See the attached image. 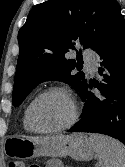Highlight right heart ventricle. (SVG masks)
<instances>
[{
    "mask_svg": "<svg viewBox=\"0 0 125 167\" xmlns=\"http://www.w3.org/2000/svg\"><path fill=\"white\" fill-rule=\"evenodd\" d=\"M27 107H28V106H27ZM27 107H26L25 110H24L22 122H23L24 128L29 131V130H30V127H29V125H28V121H27V118H26Z\"/></svg>",
    "mask_w": 125,
    "mask_h": 167,
    "instance_id": "right-heart-ventricle-1",
    "label": "right heart ventricle"
}]
</instances>
